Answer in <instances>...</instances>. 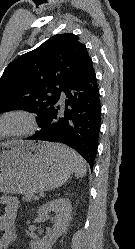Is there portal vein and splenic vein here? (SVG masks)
<instances>
[{"mask_svg":"<svg viewBox=\"0 0 135 249\" xmlns=\"http://www.w3.org/2000/svg\"><path fill=\"white\" fill-rule=\"evenodd\" d=\"M39 197L38 196H35L34 199L37 200Z\"/></svg>","mask_w":135,"mask_h":249,"instance_id":"18ae733b","label":"portal vein and splenic vein"}]
</instances>
